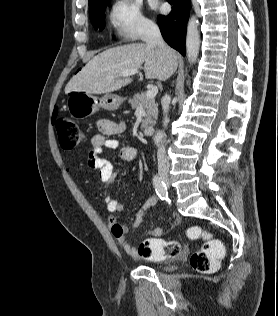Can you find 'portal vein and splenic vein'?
I'll list each match as a JSON object with an SVG mask.
<instances>
[{
	"label": "portal vein and splenic vein",
	"mask_w": 278,
	"mask_h": 316,
	"mask_svg": "<svg viewBox=\"0 0 278 316\" xmlns=\"http://www.w3.org/2000/svg\"><path fill=\"white\" fill-rule=\"evenodd\" d=\"M138 73V69H132V70H126V71H123L119 74V76L121 77H127V76H130V75H134ZM114 76H107V79H113ZM158 93V88L156 86H152L148 89V91L146 92V97L147 98H154Z\"/></svg>",
	"instance_id": "18ae733b"
}]
</instances>
